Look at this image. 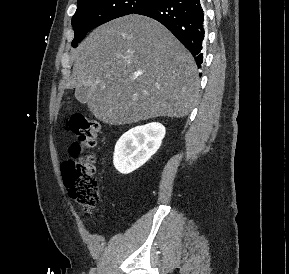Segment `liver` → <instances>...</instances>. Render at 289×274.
Instances as JSON below:
<instances>
[{"instance_id": "liver-1", "label": "liver", "mask_w": 289, "mask_h": 274, "mask_svg": "<svg viewBox=\"0 0 289 274\" xmlns=\"http://www.w3.org/2000/svg\"><path fill=\"white\" fill-rule=\"evenodd\" d=\"M73 59L65 87H87L88 109L105 124L182 118L198 101L193 56L148 17L133 14L101 25L73 51Z\"/></svg>"}]
</instances>
